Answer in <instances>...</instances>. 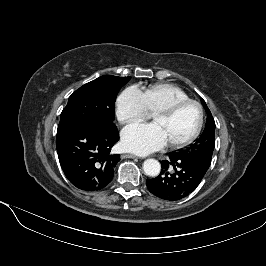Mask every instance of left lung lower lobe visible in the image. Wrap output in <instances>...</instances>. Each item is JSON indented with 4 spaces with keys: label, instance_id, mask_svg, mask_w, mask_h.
<instances>
[{
    "label": "left lung lower lobe",
    "instance_id": "obj_1",
    "mask_svg": "<svg viewBox=\"0 0 266 266\" xmlns=\"http://www.w3.org/2000/svg\"><path fill=\"white\" fill-rule=\"evenodd\" d=\"M161 166V173L156 178L147 179L146 185L153 195L164 200L176 201L188 196L205 175L175 152L161 161Z\"/></svg>",
    "mask_w": 266,
    "mask_h": 266
}]
</instances>
